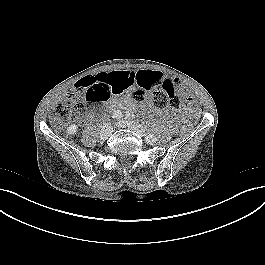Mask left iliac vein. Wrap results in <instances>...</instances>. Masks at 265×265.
Listing matches in <instances>:
<instances>
[{
    "instance_id": "left-iliac-vein-1",
    "label": "left iliac vein",
    "mask_w": 265,
    "mask_h": 265,
    "mask_svg": "<svg viewBox=\"0 0 265 265\" xmlns=\"http://www.w3.org/2000/svg\"><path fill=\"white\" fill-rule=\"evenodd\" d=\"M118 126L119 127H122V128H128L130 130H133L135 131L136 133H138L140 136H145V131L143 129V127L136 123V122H132V121H129V122H124V121H120L118 122ZM156 137L153 139V140H146L149 144H154L156 142Z\"/></svg>"
}]
</instances>
